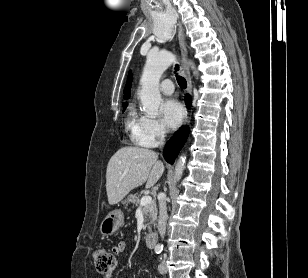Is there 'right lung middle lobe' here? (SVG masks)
<instances>
[{
  "label": "right lung middle lobe",
  "mask_w": 308,
  "mask_h": 278,
  "mask_svg": "<svg viewBox=\"0 0 308 278\" xmlns=\"http://www.w3.org/2000/svg\"><path fill=\"white\" fill-rule=\"evenodd\" d=\"M126 106H127V103H124V104H123L124 110H125Z\"/></svg>",
  "instance_id": "obj_1"
}]
</instances>
